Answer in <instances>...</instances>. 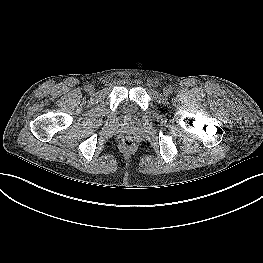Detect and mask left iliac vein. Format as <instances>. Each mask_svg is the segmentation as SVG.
Returning a JSON list of instances; mask_svg holds the SVG:
<instances>
[{
  "label": "left iliac vein",
  "mask_w": 263,
  "mask_h": 263,
  "mask_svg": "<svg viewBox=\"0 0 263 263\" xmlns=\"http://www.w3.org/2000/svg\"><path fill=\"white\" fill-rule=\"evenodd\" d=\"M163 93H164V95H169L170 93H171V91H170V89H168V88H165L164 90H163Z\"/></svg>",
  "instance_id": "left-iliac-vein-1"
}]
</instances>
